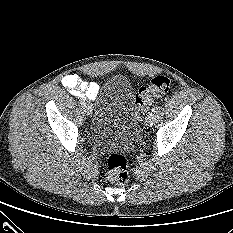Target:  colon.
I'll use <instances>...</instances> for the list:
<instances>
[{
	"mask_svg": "<svg viewBox=\"0 0 233 233\" xmlns=\"http://www.w3.org/2000/svg\"><path fill=\"white\" fill-rule=\"evenodd\" d=\"M171 89V80L163 75L154 77L150 84L141 87L134 98L136 114L147 110L154 97L166 94ZM106 177L116 185H123L129 179V161L127 155L118 150L108 151L105 159Z\"/></svg>",
	"mask_w": 233,
	"mask_h": 233,
	"instance_id": "1",
	"label": "colon"
}]
</instances>
